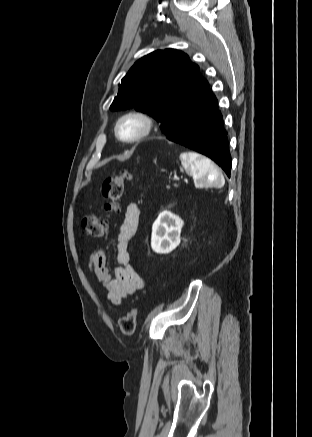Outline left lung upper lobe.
<instances>
[{"mask_svg": "<svg viewBox=\"0 0 312 437\" xmlns=\"http://www.w3.org/2000/svg\"><path fill=\"white\" fill-rule=\"evenodd\" d=\"M208 82L189 57L175 49L156 50L138 60L121 80L110 109L135 108L174 136L211 94Z\"/></svg>", "mask_w": 312, "mask_h": 437, "instance_id": "left-lung-upper-lobe-1", "label": "left lung upper lobe"}]
</instances>
